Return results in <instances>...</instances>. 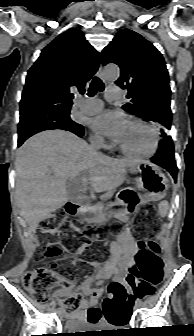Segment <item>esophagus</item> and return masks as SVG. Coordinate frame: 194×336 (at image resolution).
I'll use <instances>...</instances> for the list:
<instances>
[{"label":"esophagus","mask_w":194,"mask_h":336,"mask_svg":"<svg viewBox=\"0 0 194 336\" xmlns=\"http://www.w3.org/2000/svg\"><path fill=\"white\" fill-rule=\"evenodd\" d=\"M97 75H98L101 79H104V78H103V73H102V65L99 66Z\"/></svg>","instance_id":"34e87169"}]
</instances>
